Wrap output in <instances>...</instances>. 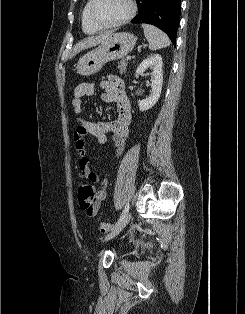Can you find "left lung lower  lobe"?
<instances>
[{
  "label": "left lung lower lobe",
  "mask_w": 245,
  "mask_h": 314,
  "mask_svg": "<svg viewBox=\"0 0 245 314\" xmlns=\"http://www.w3.org/2000/svg\"><path fill=\"white\" fill-rule=\"evenodd\" d=\"M139 13L133 23H147L162 29L173 44L180 21L181 0H136Z\"/></svg>",
  "instance_id": "1"
}]
</instances>
